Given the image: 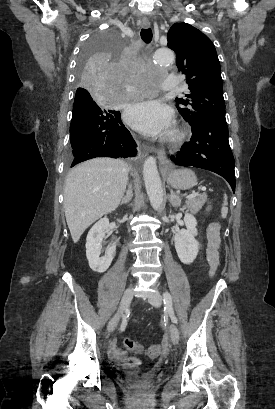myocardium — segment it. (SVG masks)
I'll return each instance as SVG.
<instances>
[{
	"label": "myocardium",
	"instance_id": "f54148a6",
	"mask_svg": "<svg viewBox=\"0 0 275 409\" xmlns=\"http://www.w3.org/2000/svg\"><path fill=\"white\" fill-rule=\"evenodd\" d=\"M169 140L176 141L181 138V131L178 129L172 130L168 136Z\"/></svg>",
	"mask_w": 275,
	"mask_h": 409
}]
</instances>
